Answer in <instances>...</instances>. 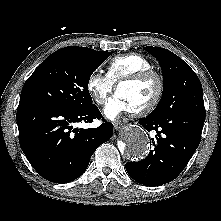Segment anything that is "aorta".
Wrapping results in <instances>:
<instances>
[{
  "mask_svg": "<svg viewBox=\"0 0 221 221\" xmlns=\"http://www.w3.org/2000/svg\"><path fill=\"white\" fill-rule=\"evenodd\" d=\"M150 148L147 133L138 126L129 127L124 135L121 152L131 160L143 159Z\"/></svg>",
  "mask_w": 221,
  "mask_h": 221,
  "instance_id": "1",
  "label": "aorta"
}]
</instances>
